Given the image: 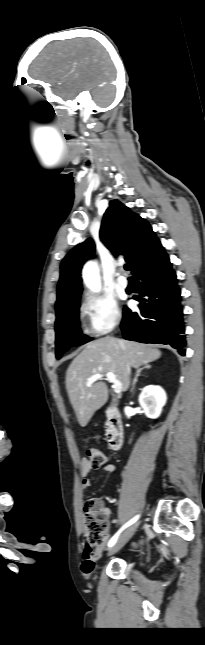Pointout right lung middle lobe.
Here are the masks:
<instances>
[{
  "instance_id": "dd1d6c3e",
  "label": "right lung middle lobe",
  "mask_w": 205,
  "mask_h": 645,
  "mask_svg": "<svg viewBox=\"0 0 205 645\" xmlns=\"http://www.w3.org/2000/svg\"><path fill=\"white\" fill-rule=\"evenodd\" d=\"M79 299L80 297L71 306L57 314L55 323L57 359L61 358L69 348L91 340L82 335L79 328Z\"/></svg>"
}]
</instances>
